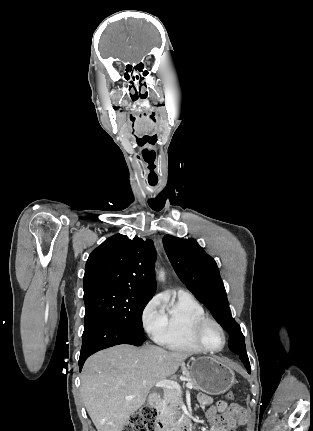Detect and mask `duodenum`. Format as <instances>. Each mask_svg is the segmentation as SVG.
Listing matches in <instances>:
<instances>
[{"mask_svg":"<svg viewBox=\"0 0 313 431\" xmlns=\"http://www.w3.org/2000/svg\"><path fill=\"white\" fill-rule=\"evenodd\" d=\"M159 401L157 393H151L148 397L149 406L155 407ZM157 424L160 431H192V422L190 419H183L175 425H171L167 420L159 416Z\"/></svg>","mask_w":313,"mask_h":431,"instance_id":"1","label":"duodenum"}]
</instances>
